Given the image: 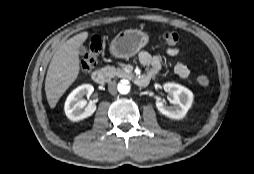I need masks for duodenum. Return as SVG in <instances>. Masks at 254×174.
Listing matches in <instances>:
<instances>
[{"mask_svg": "<svg viewBox=\"0 0 254 174\" xmlns=\"http://www.w3.org/2000/svg\"><path fill=\"white\" fill-rule=\"evenodd\" d=\"M91 78L94 83L103 85L107 80V75L102 70H95L92 72ZM151 76L143 75L134 79V82L139 87H145L149 84Z\"/></svg>", "mask_w": 254, "mask_h": 174, "instance_id": "obj_1", "label": "duodenum"}]
</instances>
